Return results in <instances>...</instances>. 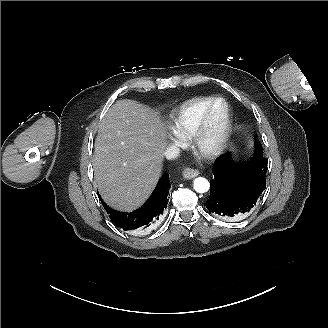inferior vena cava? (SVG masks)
<instances>
[{
    "instance_id": "602c4592",
    "label": "inferior vena cava",
    "mask_w": 328,
    "mask_h": 328,
    "mask_svg": "<svg viewBox=\"0 0 328 328\" xmlns=\"http://www.w3.org/2000/svg\"><path fill=\"white\" fill-rule=\"evenodd\" d=\"M180 153H181V149L178 146L171 144L165 149L164 156L166 160L173 161L180 156Z\"/></svg>"
}]
</instances>
